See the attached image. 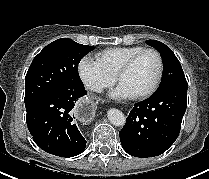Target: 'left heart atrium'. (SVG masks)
<instances>
[{
	"label": "left heart atrium",
	"instance_id": "left-heart-atrium-1",
	"mask_svg": "<svg viewBox=\"0 0 209 179\" xmlns=\"http://www.w3.org/2000/svg\"><path fill=\"white\" fill-rule=\"evenodd\" d=\"M110 97L114 99H126L130 98L131 94L123 88L121 85H118L111 93Z\"/></svg>",
	"mask_w": 209,
	"mask_h": 179
}]
</instances>
